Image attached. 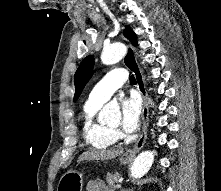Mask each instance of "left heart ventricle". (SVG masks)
I'll use <instances>...</instances> for the list:
<instances>
[{"label":"left heart ventricle","instance_id":"1","mask_svg":"<svg viewBox=\"0 0 221 191\" xmlns=\"http://www.w3.org/2000/svg\"><path fill=\"white\" fill-rule=\"evenodd\" d=\"M119 120H120V118L118 117V118H116L111 124H110V126L111 127H117L118 126V124H119Z\"/></svg>","mask_w":221,"mask_h":191}]
</instances>
